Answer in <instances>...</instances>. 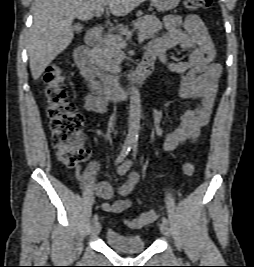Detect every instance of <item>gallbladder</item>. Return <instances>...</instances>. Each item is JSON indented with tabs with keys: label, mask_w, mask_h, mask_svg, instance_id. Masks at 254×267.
Instances as JSON below:
<instances>
[{
	"label": "gallbladder",
	"mask_w": 254,
	"mask_h": 267,
	"mask_svg": "<svg viewBox=\"0 0 254 267\" xmlns=\"http://www.w3.org/2000/svg\"><path fill=\"white\" fill-rule=\"evenodd\" d=\"M82 29V25L80 23L74 24L73 25V30L74 31H80Z\"/></svg>",
	"instance_id": "gallbladder-1"
}]
</instances>
